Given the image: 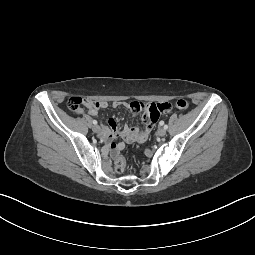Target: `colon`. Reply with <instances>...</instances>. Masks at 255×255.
Returning a JSON list of instances; mask_svg holds the SVG:
<instances>
[{
    "label": "colon",
    "mask_w": 255,
    "mask_h": 255,
    "mask_svg": "<svg viewBox=\"0 0 255 255\" xmlns=\"http://www.w3.org/2000/svg\"><path fill=\"white\" fill-rule=\"evenodd\" d=\"M96 101L80 98V97H72L68 102V107L71 111L75 113H81L83 110V106L96 105ZM175 106L180 110H186L189 107V103L184 99H179L175 102ZM120 151H115V161L114 168L118 173H121L125 170L126 161L124 156H122Z\"/></svg>",
    "instance_id": "colon-1"
}]
</instances>
